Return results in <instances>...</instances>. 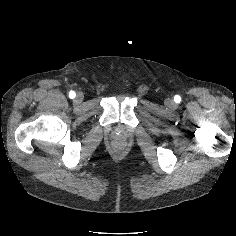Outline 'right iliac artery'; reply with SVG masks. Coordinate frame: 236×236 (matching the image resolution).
I'll use <instances>...</instances> for the list:
<instances>
[{"mask_svg": "<svg viewBox=\"0 0 236 236\" xmlns=\"http://www.w3.org/2000/svg\"><path fill=\"white\" fill-rule=\"evenodd\" d=\"M75 96H76L75 92H74V91H70L69 97H70L71 99H73V98H75Z\"/></svg>", "mask_w": 236, "mask_h": 236, "instance_id": "right-iliac-artery-1", "label": "right iliac artery"}]
</instances>
